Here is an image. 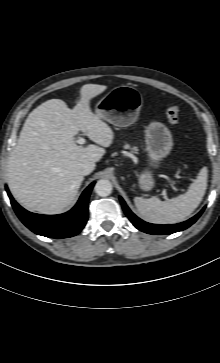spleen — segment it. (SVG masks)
<instances>
[{"label":"spleen","mask_w":220,"mask_h":363,"mask_svg":"<svg viewBox=\"0 0 220 363\" xmlns=\"http://www.w3.org/2000/svg\"><path fill=\"white\" fill-rule=\"evenodd\" d=\"M207 189V170L203 168L188 191L167 201L135 197L138 213L147 222L175 224L182 222L199 206Z\"/></svg>","instance_id":"obj_1"}]
</instances>
